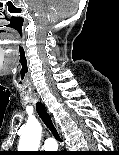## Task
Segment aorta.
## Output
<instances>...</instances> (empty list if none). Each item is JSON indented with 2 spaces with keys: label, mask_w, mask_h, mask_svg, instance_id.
Segmentation results:
<instances>
[{
  "label": "aorta",
  "mask_w": 119,
  "mask_h": 155,
  "mask_svg": "<svg viewBox=\"0 0 119 155\" xmlns=\"http://www.w3.org/2000/svg\"><path fill=\"white\" fill-rule=\"evenodd\" d=\"M42 127L37 120L30 121L24 127L19 141L20 151H37L40 143Z\"/></svg>",
  "instance_id": "1"
}]
</instances>
